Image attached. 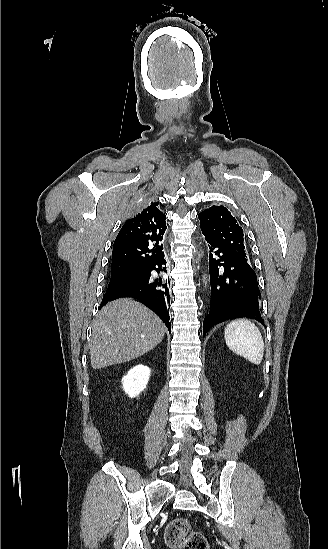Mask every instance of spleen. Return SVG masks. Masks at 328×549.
<instances>
[{
	"mask_svg": "<svg viewBox=\"0 0 328 549\" xmlns=\"http://www.w3.org/2000/svg\"><path fill=\"white\" fill-rule=\"evenodd\" d=\"M224 333L230 351L254 365H260L264 355V341L254 323L248 319H236L225 327Z\"/></svg>",
	"mask_w": 328,
	"mask_h": 549,
	"instance_id": "spleen-1",
	"label": "spleen"
}]
</instances>
